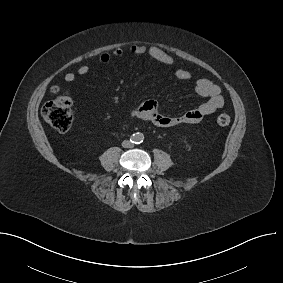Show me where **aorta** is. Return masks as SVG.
Returning a JSON list of instances; mask_svg holds the SVG:
<instances>
[{
    "label": "aorta",
    "mask_w": 283,
    "mask_h": 283,
    "mask_svg": "<svg viewBox=\"0 0 283 283\" xmlns=\"http://www.w3.org/2000/svg\"><path fill=\"white\" fill-rule=\"evenodd\" d=\"M132 139L135 142H141L143 140V135L141 133H136Z\"/></svg>",
    "instance_id": "762f6f07"
}]
</instances>
